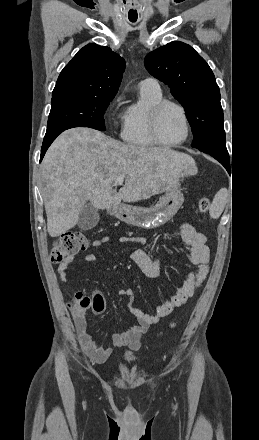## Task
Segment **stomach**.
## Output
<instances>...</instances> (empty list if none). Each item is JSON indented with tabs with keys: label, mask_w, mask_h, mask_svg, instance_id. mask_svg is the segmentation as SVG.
<instances>
[{
	"label": "stomach",
	"mask_w": 259,
	"mask_h": 440,
	"mask_svg": "<svg viewBox=\"0 0 259 440\" xmlns=\"http://www.w3.org/2000/svg\"><path fill=\"white\" fill-rule=\"evenodd\" d=\"M183 201V194L175 186L166 191L152 207L119 204L112 209L111 213L127 224L154 229L167 223L177 213Z\"/></svg>",
	"instance_id": "1"
}]
</instances>
